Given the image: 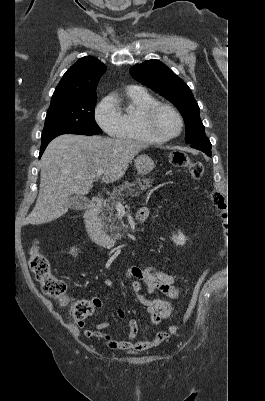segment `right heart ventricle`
<instances>
[{
	"mask_svg": "<svg viewBox=\"0 0 265 401\" xmlns=\"http://www.w3.org/2000/svg\"><path fill=\"white\" fill-rule=\"evenodd\" d=\"M155 102L156 100L145 90L135 86L128 87L116 105L121 124L114 134L116 138L114 142L149 141L141 127L140 119L143 111Z\"/></svg>",
	"mask_w": 265,
	"mask_h": 401,
	"instance_id": "right-heart-ventricle-1",
	"label": "right heart ventricle"
}]
</instances>
